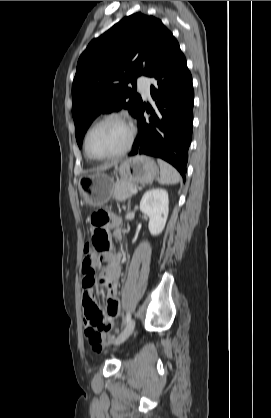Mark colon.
I'll use <instances>...</instances> for the list:
<instances>
[{
	"label": "colon",
	"instance_id": "colon-1",
	"mask_svg": "<svg viewBox=\"0 0 271 418\" xmlns=\"http://www.w3.org/2000/svg\"><path fill=\"white\" fill-rule=\"evenodd\" d=\"M107 221V214L97 212L93 214L91 223L94 227L92 244L93 247L103 252L109 249V240L104 225ZM88 327L85 331L89 344L93 349H101L103 343V333L108 330L109 326L104 320L102 313L97 308L88 310L86 314Z\"/></svg>",
	"mask_w": 271,
	"mask_h": 418
}]
</instances>
